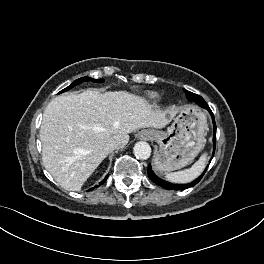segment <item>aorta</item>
<instances>
[{
    "label": "aorta",
    "instance_id": "762f6f07",
    "mask_svg": "<svg viewBox=\"0 0 264 264\" xmlns=\"http://www.w3.org/2000/svg\"><path fill=\"white\" fill-rule=\"evenodd\" d=\"M133 152L138 159L146 160L151 155V147L147 142H137L134 145Z\"/></svg>",
    "mask_w": 264,
    "mask_h": 264
}]
</instances>
